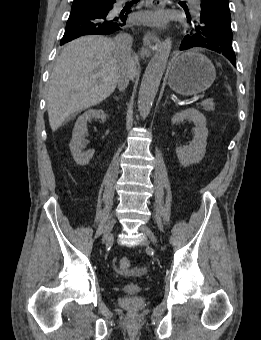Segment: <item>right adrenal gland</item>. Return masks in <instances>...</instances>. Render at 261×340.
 I'll use <instances>...</instances> for the list:
<instances>
[{"label": "right adrenal gland", "mask_w": 261, "mask_h": 340, "mask_svg": "<svg viewBox=\"0 0 261 340\" xmlns=\"http://www.w3.org/2000/svg\"><path fill=\"white\" fill-rule=\"evenodd\" d=\"M115 99L118 101V100H119V97H115Z\"/></svg>", "instance_id": "obj_1"}]
</instances>
